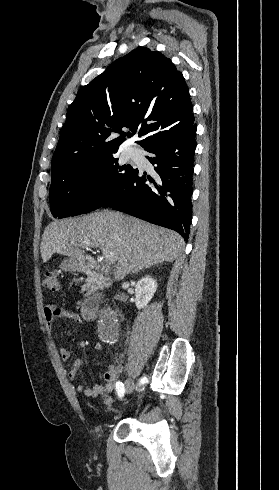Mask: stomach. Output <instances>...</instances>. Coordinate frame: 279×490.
<instances>
[{
  "mask_svg": "<svg viewBox=\"0 0 279 490\" xmlns=\"http://www.w3.org/2000/svg\"><path fill=\"white\" fill-rule=\"evenodd\" d=\"M61 270L64 272H79V264L74 258H69V260H64L60 266Z\"/></svg>",
  "mask_w": 279,
  "mask_h": 490,
  "instance_id": "stomach-1",
  "label": "stomach"
}]
</instances>
